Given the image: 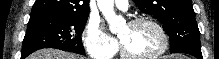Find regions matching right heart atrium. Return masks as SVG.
Wrapping results in <instances>:
<instances>
[{
    "label": "right heart atrium",
    "mask_w": 219,
    "mask_h": 59,
    "mask_svg": "<svg viewBox=\"0 0 219 59\" xmlns=\"http://www.w3.org/2000/svg\"><path fill=\"white\" fill-rule=\"evenodd\" d=\"M82 41L87 54L94 59H108L117 49L115 40L105 32L98 20L88 21Z\"/></svg>",
    "instance_id": "d8ad5b80"
}]
</instances>
